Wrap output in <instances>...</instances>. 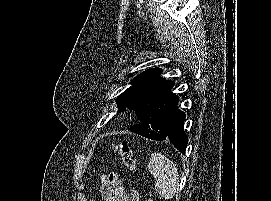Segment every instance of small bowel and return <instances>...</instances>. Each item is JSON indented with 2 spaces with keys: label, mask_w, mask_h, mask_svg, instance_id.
I'll return each mask as SVG.
<instances>
[{
  "label": "small bowel",
  "mask_w": 271,
  "mask_h": 201,
  "mask_svg": "<svg viewBox=\"0 0 271 201\" xmlns=\"http://www.w3.org/2000/svg\"><path fill=\"white\" fill-rule=\"evenodd\" d=\"M101 193L103 201H131L121 179L115 173L101 178Z\"/></svg>",
  "instance_id": "small-bowel-1"
}]
</instances>
